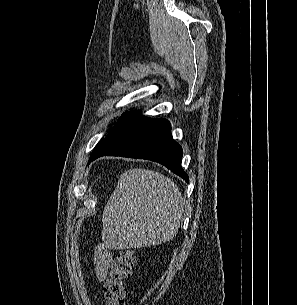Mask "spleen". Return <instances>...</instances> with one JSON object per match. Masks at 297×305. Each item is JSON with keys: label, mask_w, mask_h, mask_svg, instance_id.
Segmentation results:
<instances>
[{"label": "spleen", "mask_w": 297, "mask_h": 305, "mask_svg": "<svg viewBox=\"0 0 297 305\" xmlns=\"http://www.w3.org/2000/svg\"><path fill=\"white\" fill-rule=\"evenodd\" d=\"M184 200L177 185L161 173L124 171L105 206L103 234L119 248L150 246L177 234Z\"/></svg>", "instance_id": "spleen-1"}]
</instances>
